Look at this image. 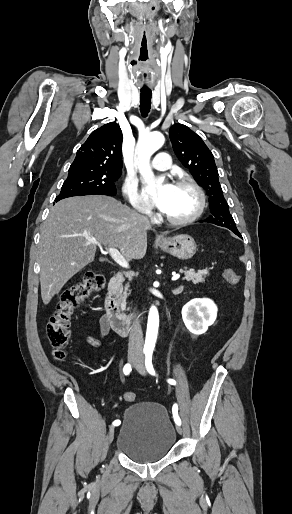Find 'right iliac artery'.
Masks as SVG:
<instances>
[{
  "label": "right iliac artery",
  "instance_id": "obj_1",
  "mask_svg": "<svg viewBox=\"0 0 292 514\" xmlns=\"http://www.w3.org/2000/svg\"><path fill=\"white\" fill-rule=\"evenodd\" d=\"M131 370H132V369H131V365H130L129 363H127V364L124 366V368H123V372H124V374H125V375H129V374H130V372H131ZM120 423H121V421H120V420H115V421L113 422V425H114V426H118V425H120Z\"/></svg>",
  "mask_w": 292,
  "mask_h": 514
}]
</instances>
